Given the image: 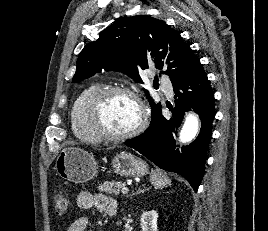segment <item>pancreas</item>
I'll return each instance as SVG.
<instances>
[{
	"label": "pancreas",
	"mask_w": 268,
	"mask_h": 231,
	"mask_svg": "<svg viewBox=\"0 0 268 231\" xmlns=\"http://www.w3.org/2000/svg\"><path fill=\"white\" fill-rule=\"evenodd\" d=\"M125 186L121 181H106L103 184L98 186V190L105 192L112 196H117L120 193V190Z\"/></svg>",
	"instance_id": "cf45deb5"
}]
</instances>
